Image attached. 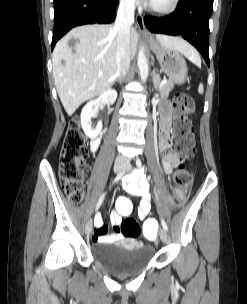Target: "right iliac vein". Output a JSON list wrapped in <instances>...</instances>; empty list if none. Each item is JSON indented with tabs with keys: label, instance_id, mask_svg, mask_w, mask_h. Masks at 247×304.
<instances>
[{
	"label": "right iliac vein",
	"instance_id": "right-iliac-vein-1",
	"mask_svg": "<svg viewBox=\"0 0 247 304\" xmlns=\"http://www.w3.org/2000/svg\"><path fill=\"white\" fill-rule=\"evenodd\" d=\"M122 169H123V166L121 164H116L114 166L115 173H120L122 171ZM92 225H93L92 219H89L85 225V233L87 236H89L92 231Z\"/></svg>",
	"mask_w": 247,
	"mask_h": 304
}]
</instances>
